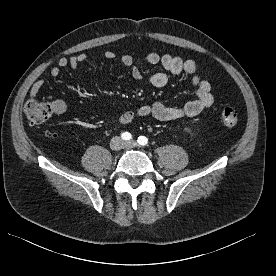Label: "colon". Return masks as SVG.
<instances>
[{"label":"colon","mask_w":276,"mask_h":276,"mask_svg":"<svg viewBox=\"0 0 276 276\" xmlns=\"http://www.w3.org/2000/svg\"><path fill=\"white\" fill-rule=\"evenodd\" d=\"M52 113V105L44 99H30L24 105V114L32 125L43 124ZM220 119L225 126L235 127L238 123V113L234 108L226 106L220 112Z\"/></svg>","instance_id":"1"}]
</instances>
